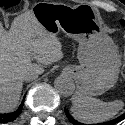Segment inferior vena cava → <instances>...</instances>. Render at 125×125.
Wrapping results in <instances>:
<instances>
[{"mask_svg":"<svg viewBox=\"0 0 125 125\" xmlns=\"http://www.w3.org/2000/svg\"><path fill=\"white\" fill-rule=\"evenodd\" d=\"M38 77V74L35 73V72H28V73H25L23 76H22V80L23 81H31V80H34Z\"/></svg>","mask_w":125,"mask_h":125,"instance_id":"1","label":"inferior vena cava"}]
</instances>
